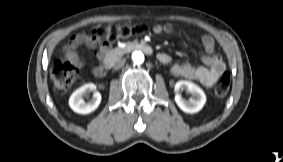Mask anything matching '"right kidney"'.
Masks as SVG:
<instances>
[{
	"instance_id": "ca27d5eb",
	"label": "right kidney",
	"mask_w": 283,
	"mask_h": 162,
	"mask_svg": "<svg viewBox=\"0 0 283 162\" xmlns=\"http://www.w3.org/2000/svg\"><path fill=\"white\" fill-rule=\"evenodd\" d=\"M92 91H94L93 97L86 103L83 98ZM100 102L101 94L96 91V86L88 83L73 92L69 99V106L76 113L89 114L97 109Z\"/></svg>"
}]
</instances>
